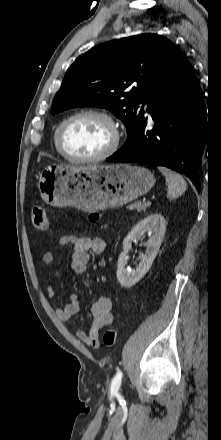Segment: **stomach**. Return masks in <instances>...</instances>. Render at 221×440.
Returning a JSON list of instances; mask_svg holds the SVG:
<instances>
[{
    "label": "stomach",
    "mask_w": 221,
    "mask_h": 440,
    "mask_svg": "<svg viewBox=\"0 0 221 440\" xmlns=\"http://www.w3.org/2000/svg\"><path fill=\"white\" fill-rule=\"evenodd\" d=\"M154 182L151 171L131 164L52 165L40 173L38 188L47 204L96 212L146 194Z\"/></svg>",
    "instance_id": "obj_1"
}]
</instances>
